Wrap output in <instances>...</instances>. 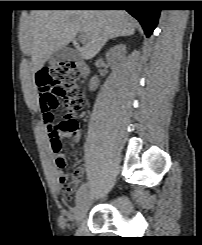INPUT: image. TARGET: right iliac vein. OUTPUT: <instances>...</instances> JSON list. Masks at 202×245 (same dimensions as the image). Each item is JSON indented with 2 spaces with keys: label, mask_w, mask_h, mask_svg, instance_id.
Listing matches in <instances>:
<instances>
[{
  "label": "right iliac vein",
  "mask_w": 202,
  "mask_h": 245,
  "mask_svg": "<svg viewBox=\"0 0 202 245\" xmlns=\"http://www.w3.org/2000/svg\"><path fill=\"white\" fill-rule=\"evenodd\" d=\"M89 209V198L83 195L77 202L74 209V219L76 223H79L86 215Z\"/></svg>",
  "instance_id": "63e3f726"
}]
</instances>
